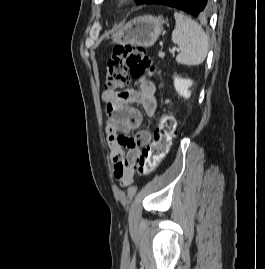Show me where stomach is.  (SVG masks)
Segmentation results:
<instances>
[{"label": "stomach", "instance_id": "0dacf381", "mask_svg": "<svg viewBox=\"0 0 265 269\" xmlns=\"http://www.w3.org/2000/svg\"><path fill=\"white\" fill-rule=\"evenodd\" d=\"M164 20L151 15H143L128 21L111 39L114 44L151 47L163 30Z\"/></svg>", "mask_w": 265, "mask_h": 269}]
</instances>
